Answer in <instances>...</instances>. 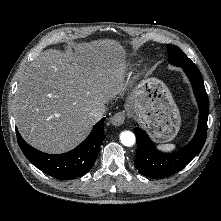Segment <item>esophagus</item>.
<instances>
[{
    "mask_svg": "<svg viewBox=\"0 0 221 221\" xmlns=\"http://www.w3.org/2000/svg\"><path fill=\"white\" fill-rule=\"evenodd\" d=\"M125 112L124 111H120L115 113L111 118L110 121L114 126H120L124 123L125 121Z\"/></svg>",
    "mask_w": 221,
    "mask_h": 221,
    "instance_id": "obj_1",
    "label": "esophagus"
}]
</instances>
